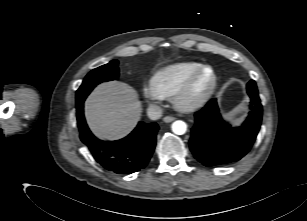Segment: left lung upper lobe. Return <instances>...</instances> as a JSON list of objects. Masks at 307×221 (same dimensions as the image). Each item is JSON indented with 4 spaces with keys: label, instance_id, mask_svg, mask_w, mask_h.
Masks as SVG:
<instances>
[{
    "label": "left lung upper lobe",
    "instance_id": "left-lung-upper-lobe-1",
    "mask_svg": "<svg viewBox=\"0 0 307 221\" xmlns=\"http://www.w3.org/2000/svg\"><path fill=\"white\" fill-rule=\"evenodd\" d=\"M247 88H256L255 81L251 80V81L247 84Z\"/></svg>",
    "mask_w": 307,
    "mask_h": 221
}]
</instances>
